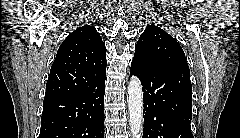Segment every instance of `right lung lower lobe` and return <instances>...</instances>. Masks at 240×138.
<instances>
[{
	"mask_svg": "<svg viewBox=\"0 0 240 138\" xmlns=\"http://www.w3.org/2000/svg\"><path fill=\"white\" fill-rule=\"evenodd\" d=\"M105 77L88 90L43 102L39 138H103Z\"/></svg>",
	"mask_w": 240,
	"mask_h": 138,
	"instance_id": "1",
	"label": "right lung lower lobe"
}]
</instances>
